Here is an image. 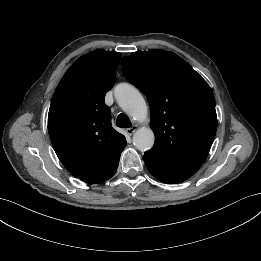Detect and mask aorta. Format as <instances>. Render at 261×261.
<instances>
[{
    "label": "aorta",
    "mask_w": 261,
    "mask_h": 261,
    "mask_svg": "<svg viewBox=\"0 0 261 261\" xmlns=\"http://www.w3.org/2000/svg\"><path fill=\"white\" fill-rule=\"evenodd\" d=\"M114 95L121 109L132 119L138 122L147 120V104L141 93L134 86L121 83L115 88ZM154 141V133L148 127L139 128L133 136V144L140 151L151 149Z\"/></svg>",
    "instance_id": "aorta-1"
}]
</instances>
